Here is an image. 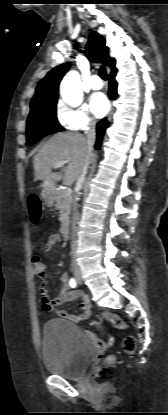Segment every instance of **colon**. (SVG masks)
Instances as JSON below:
<instances>
[{
    "mask_svg": "<svg viewBox=\"0 0 168 415\" xmlns=\"http://www.w3.org/2000/svg\"><path fill=\"white\" fill-rule=\"evenodd\" d=\"M29 212L30 217L33 222H37L40 216V206L37 198L33 197L29 200ZM46 262L42 255H34L32 257V273L34 274V280L38 281L39 279H44L46 277V272L44 267ZM102 317L109 321L115 328L124 330L127 328L126 321L121 318L119 315L103 312ZM89 338L96 344L100 350H105L112 344V338L107 341L98 339L92 332H88ZM122 347L125 352L133 353L136 350L137 342L133 336H127L122 342ZM113 360L111 356L105 358L106 363H110Z\"/></svg>",
    "mask_w": 168,
    "mask_h": 415,
    "instance_id": "5ec220e1",
    "label": "colon"
}]
</instances>
